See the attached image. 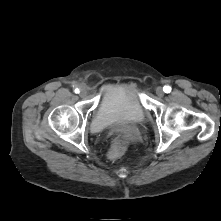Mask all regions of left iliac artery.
Wrapping results in <instances>:
<instances>
[{
    "mask_svg": "<svg viewBox=\"0 0 221 221\" xmlns=\"http://www.w3.org/2000/svg\"><path fill=\"white\" fill-rule=\"evenodd\" d=\"M163 91H164L165 93H170L171 87L168 86V85H167V86H164Z\"/></svg>",
    "mask_w": 221,
    "mask_h": 221,
    "instance_id": "1",
    "label": "left iliac artery"
}]
</instances>
